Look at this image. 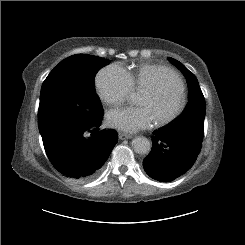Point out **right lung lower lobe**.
<instances>
[{"label": "right lung lower lobe", "mask_w": 245, "mask_h": 245, "mask_svg": "<svg viewBox=\"0 0 245 245\" xmlns=\"http://www.w3.org/2000/svg\"><path fill=\"white\" fill-rule=\"evenodd\" d=\"M101 122L102 116L88 125L57 129L43 139L56 170L76 180H89L99 174L118 141L115 131H99Z\"/></svg>", "instance_id": "1"}]
</instances>
